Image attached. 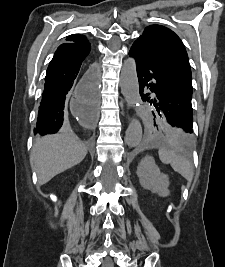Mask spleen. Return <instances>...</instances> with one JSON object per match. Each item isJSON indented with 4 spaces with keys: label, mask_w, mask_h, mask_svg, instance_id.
I'll return each instance as SVG.
<instances>
[{
    "label": "spleen",
    "mask_w": 225,
    "mask_h": 267,
    "mask_svg": "<svg viewBox=\"0 0 225 267\" xmlns=\"http://www.w3.org/2000/svg\"><path fill=\"white\" fill-rule=\"evenodd\" d=\"M158 154L162 163L170 164L175 172H178L187 181H192L193 168L185 157L178 155L173 150L166 148H160Z\"/></svg>",
    "instance_id": "1"
}]
</instances>
